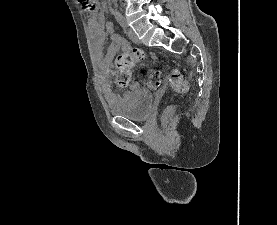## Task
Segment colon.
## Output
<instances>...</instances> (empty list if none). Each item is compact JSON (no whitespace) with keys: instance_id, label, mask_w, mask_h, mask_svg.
I'll list each match as a JSON object with an SVG mask.
<instances>
[{"instance_id":"colon-1","label":"colon","mask_w":277,"mask_h":225,"mask_svg":"<svg viewBox=\"0 0 277 225\" xmlns=\"http://www.w3.org/2000/svg\"><path fill=\"white\" fill-rule=\"evenodd\" d=\"M83 7L86 11H92L94 9V4L91 0H82ZM145 58V53L136 49L131 53H122L118 55L115 59V81L116 84L123 88L127 87L131 81L132 68L136 62H139ZM147 84L150 88L155 89L160 86L164 81L165 77L161 71L155 70L150 71L147 74ZM170 79L172 85L179 91L187 92L189 91V85L187 80L178 70H172L170 73ZM174 107H168L165 111L166 115L172 114Z\"/></svg>"}]
</instances>
